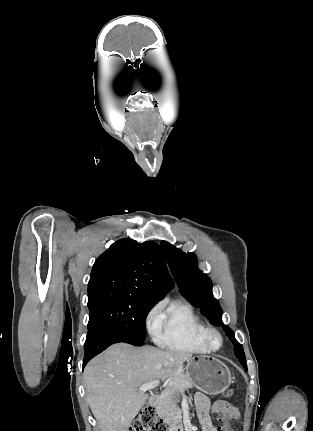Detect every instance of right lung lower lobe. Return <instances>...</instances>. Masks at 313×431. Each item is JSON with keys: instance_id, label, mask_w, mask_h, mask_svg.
Returning <instances> with one entry per match:
<instances>
[{"instance_id": "1", "label": "right lung lower lobe", "mask_w": 313, "mask_h": 431, "mask_svg": "<svg viewBox=\"0 0 313 431\" xmlns=\"http://www.w3.org/2000/svg\"><path fill=\"white\" fill-rule=\"evenodd\" d=\"M118 342H125L134 346H142L144 344V341L137 340L125 333L106 328L99 329L93 334L87 335L84 344L83 368L93 357L110 345Z\"/></svg>"}]
</instances>
